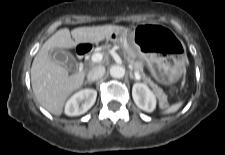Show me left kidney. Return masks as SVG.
Wrapping results in <instances>:
<instances>
[{
    "label": "left kidney",
    "instance_id": "left-kidney-1",
    "mask_svg": "<svg viewBox=\"0 0 225 155\" xmlns=\"http://www.w3.org/2000/svg\"><path fill=\"white\" fill-rule=\"evenodd\" d=\"M132 97L135 104L146 112H153L156 108V96L146 84L135 83L132 87Z\"/></svg>",
    "mask_w": 225,
    "mask_h": 155
}]
</instances>
